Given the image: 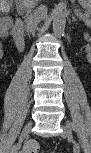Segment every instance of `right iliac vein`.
I'll return each instance as SVG.
<instances>
[{
  "label": "right iliac vein",
  "mask_w": 91,
  "mask_h": 153,
  "mask_svg": "<svg viewBox=\"0 0 91 153\" xmlns=\"http://www.w3.org/2000/svg\"><path fill=\"white\" fill-rule=\"evenodd\" d=\"M31 126H32L31 122H29L25 125V127L23 128V130L20 134L19 142L14 146L12 153H17L18 152L23 140L28 137V135L30 133V130H31Z\"/></svg>",
  "instance_id": "obj_1"
}]
</instances>
